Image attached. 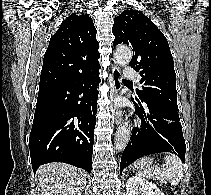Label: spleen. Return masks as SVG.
Here are the masks:
<instances>
[{
  "label": "spleen",
  "instance_id": "spleen-1",
  "mask_svg": "<svg viewBox=\"0 0 211 195\" xmlns=\"http://www.w3.org/2000/svg\"><path fill=\"white\" fill-rule=\"evenodd\" d=\"M141 175L157 180L166 179L172 186H176L183 177V163L176 155H166L163 169L155 166L141 172Z\"/></svg>",
  "mask_w": 211,
  "mask_h": 195
}]
</instances>
